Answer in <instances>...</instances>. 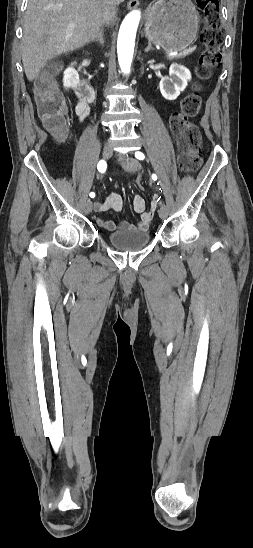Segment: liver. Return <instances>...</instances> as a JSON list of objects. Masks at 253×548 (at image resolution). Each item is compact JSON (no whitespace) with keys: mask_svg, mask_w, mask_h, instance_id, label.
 <instances>
[{"mask_svg":"<svg viewBox=\"0 0 253 548\" xmlns=\"http://www.w3.org/2000/svg\"><path fill=\"white\" fill-rule=\"evenodd\" d=\"M104 0H29L23 21L22 62L35 80L47 61L77 50L99 34Z\"/></svg>","mask_w":253,"mask_h":548,"instance_id":"obj_1","label":"liver"}]
</instances>
